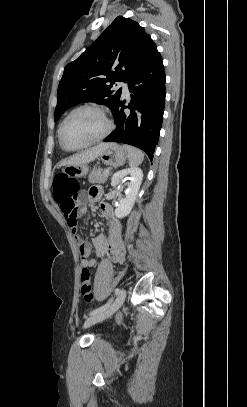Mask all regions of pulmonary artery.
Returning a JSON list of instances; mask_svg holds the SVG:
<instances>
[{"label":"pulmonary artery","mask_w":247,"mask_h":407,"mask_svg":"<svg viewBox=\"0 0 247 407\" xmlns=\"http://www.w3.org/2000/svg\"><path fill=\"white\" fill-rule=\"evenodd\" d=\"M120 86H121L122 89H123V94H124L125 96H128V95H129V89H128L127 84H126V83H120Z\"/></svg>","instance_id":"e3ab8cb5"}]
</instances>
